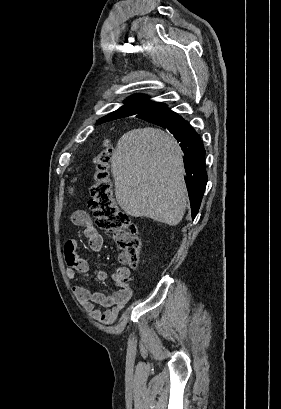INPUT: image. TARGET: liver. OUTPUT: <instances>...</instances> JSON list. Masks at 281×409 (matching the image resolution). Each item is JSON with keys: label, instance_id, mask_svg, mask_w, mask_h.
<instances>
[{"label": "liver", "instance_id": "6515ba94", "mask_svg": "<svg viewBox=\"0 0 281 409\" xmlns=\"http://www.w3.org/2000/svg\"><path fill=\"white\" fill-rule=\"evenodd\" d=\"M118 205L131 217H150L175 227L187 205L182 152L160 128L122 134L111 158Z\"/></svg>", "mask_w": 281, "mask_h": 409}]
</instances>
